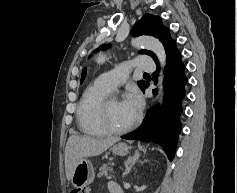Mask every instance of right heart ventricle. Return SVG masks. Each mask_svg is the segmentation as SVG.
Instances as JSON below:
<instances>
[{
  "label": "right heart ventricle",
  "instance_id": "right-heart-ventricle-1",
  "mask_svg": "<svg viewBox=\"0 0 237 193\" xmlns=\"http://www.w3.org/2000/svg\"><path fill=\"white\" fill-rule=\"evenodd\" d=\"M110 93L111 90L97 81L85 89L77 107V121L81 132L91 136L107 134L97 122V109L101 100Z\"/></svg>",
  "mask_w": 237,
  "mask_h": 193
}]
</instances>
